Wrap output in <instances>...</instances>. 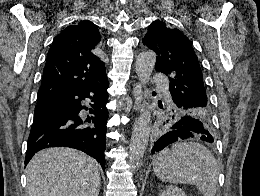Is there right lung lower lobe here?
Returning a JSON list of instances; mask_svg holds the SVG:
<instances>
[{
	"label": "right lung lower lobe",
	"mask_w": 260,
	"mask_h": 196,
	"mask_svg": "<svg viewBox=\"0 0 260 196\" xmlns=\"http://www.w3.org/2000/svg\"><path fill=\"white\" fill-rule=\"evenodd\" d=\"M108 79L68 91L52 100L37 104L35 113L53 115L32 125L25 165L44 148L71 147L95 158L105 168ZM85 102L90 106H85ZM87 111L90 116L82 114ZM80 114V115H79Z\"/></svg>",
	"instance_id": "1"
}]
</instances>
